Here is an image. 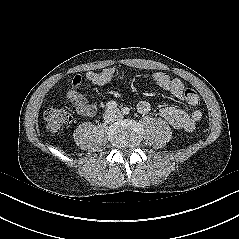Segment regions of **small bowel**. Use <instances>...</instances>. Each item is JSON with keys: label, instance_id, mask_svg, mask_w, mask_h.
Masks as SVG:
<instances>
[{"label": "small bowel", "instance_id": "obj_1", "mask_svg": "<svg viewBox=\"0 0 239 239\" xmlns=\"http://www.w3.org/2000/svg\"><path fill=\"white\" fill-rule=\"evenodd\" d=\"M116 74L114 67H108L100 71H89L84 76L76 75L71 82V89L68 91V99L74 104L78 114L84 117H92L97 111L94 104L88 102L87 98L79 92V87L83 78L95 85H104L111 81ZM153 80L158 87L170 92L177 99H183L184 83L180 78H171L164 72H155ZM137 110L142 115H147L151 111V105L148 101H140L137 104ZM160 115L176 129L191 131L196 123L201 119L202 112L195 109L187 112L176 106H164L160 109Z\"/></svg>", "mask_w": 239, "mask_h": 239}]
</instances>
